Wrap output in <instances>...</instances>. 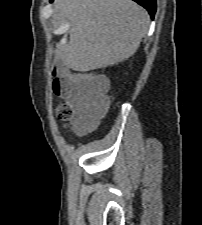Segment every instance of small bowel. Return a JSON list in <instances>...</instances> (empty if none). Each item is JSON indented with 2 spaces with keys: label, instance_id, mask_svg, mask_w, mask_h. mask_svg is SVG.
<instances>
[{
  "label": "small bowel",
  "instance_id": "small-bowel-1",
  "mask_svg": "<svg viewBox=\"0 0 202 225\" xmlns=\"http://www.w3.org/2000/svg\"><path fill=\"white\" fill-rule=\"evenodd\" d=\"M100 79L107 81L106 76H99ZM72 103L75 106V116L73 118V125L78 126L81 121L87 120L90 114L85 106V101L81 97L73 99Z\"/></svg>",
  "mask_w": 202,
  "mask_h": 225
}]
</instances>
